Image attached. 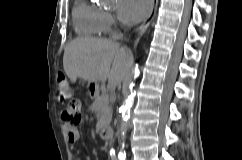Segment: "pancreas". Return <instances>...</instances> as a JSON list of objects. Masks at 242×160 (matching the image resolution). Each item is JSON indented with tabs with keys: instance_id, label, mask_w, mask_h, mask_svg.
Masks as SVG:
<instances>
[{
	"instance_id": "1",
	"label": "pancreas",
	"mask_w": 242,
	"mask_h": 160,
	"mask_svg": "<svg viewBox=\"0 0 242 160\" xmlns=\"http://www.w3.org/2000/svg\"><path fill=\"white\" fill-rule=\"evenodd\" d=\"M90 110L94 112L97 116V132H99L104 126L110 124L112 119V113L108 95L103 94L95 96Z\"/></svg>"
}]
</instances>
